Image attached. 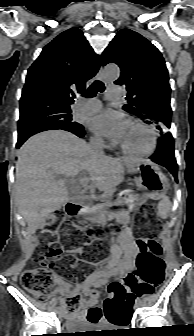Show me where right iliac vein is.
<instances>
[{"label":"right iliac vein","instance_id":"1","mask_svg":"<svg viewBox=\"0 0 194 336\" xmlns=\"http://www.w3.org/2000/svg\"><path fill=\"white\" fill-rule=\"evenodd\" d=\"M59 315H62L63 314V308L62 307H58V312H57Z\"/></svg>","mask_w":194,"mask_h":336}]
</instances>
